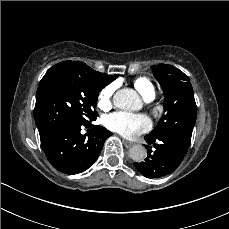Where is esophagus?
I'll list each match as a JSON object with an SVG mask.
<instances>
[{
  "instance_id": "34e87169",
  "label": "esophagus",
  "mask_w": 229,
  "mask_h": 229,
  "mask_svg": "<svg viewBox=\"0 0 229 229\" xmlns=\"http://www.w3.org/2000/svg\"><path fill=\"white\" fill-rule=\"evenodd\" d=\"M123 144L126 148H131L134 143L133 142H130V141H127V140H123Z\"/></svg>"
}]
</instances>
